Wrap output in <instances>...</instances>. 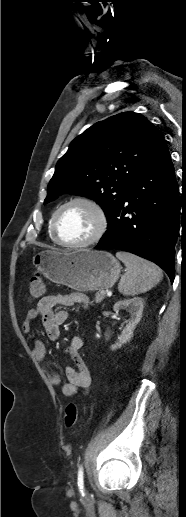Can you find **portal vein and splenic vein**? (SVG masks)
<instances>
[{"instance_id": "obj_1", "label": "portal vein and splenic vein", "mask_w": 186, "mask_h": 517, "mask_svg": "<svg viewBox=\"0 0 186 517\" xmlns=\"http://www.w3.org/2000/svg\"><path fill=\"white\" fill-rule=\"evenodd\" d=\"M101 293L106 294V291H101ZM107 295L110 296L111 294L107 293Z\"/></svg>"}]
</instances>
